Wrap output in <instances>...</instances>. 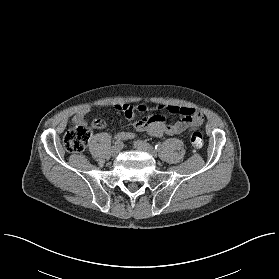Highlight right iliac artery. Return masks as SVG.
<instances>
[{
  "label": "right iliac artery",
  "mask_w": 279,
  "mask_h": 279,
  "mask_svg": "<svg viewBox=\"0 0 279 279\" xmlns=\"http://www.w3.org/2000/svg\"><path fill=\"white\" fill-rule=\"evenodd\" d=\"M115 145H117V146H119L121 148L122 147V142L119 139H117L115 141Z\"/></svg>",
  "instance_id": "82829eb1"
}]
</instances>
